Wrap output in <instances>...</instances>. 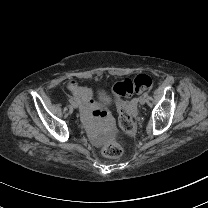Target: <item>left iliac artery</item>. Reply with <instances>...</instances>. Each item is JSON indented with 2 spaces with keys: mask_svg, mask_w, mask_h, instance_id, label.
Returning <instances> with one entry per match:
<instances>
[{
  "mask_svg": "<svg viewBox=\"0 0 208 208\" xmlns=\"http://www.w3.org/2000/svg\"><path fill=\"white\" fill-rule=\"evenodd\" d=\"M143 95H144L145 97H148V92H145Z\"/></svg>",
  "mask_w": 208,
  "mask_h": 208,
  "instance_id": "left-iliac-artery-1",
  "label": "left iliac artery"
}]
</instances>
